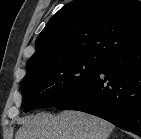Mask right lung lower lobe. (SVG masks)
Here are the masks:
<instances>
[{"label": "right lung lower lobe", "mask_w": 141, "mask_h": 139, "mask_svg": "<svg viewBox=\"0 0 141 139\" xmlns=\"http://www.w3.org/2000/svg\"><path fill=\"white\" fill-rule=\"evenodd\" d=\"M55 107L93 114L141 136V43L109 56L88 83Z\"/></svg>", "instance_id": "98d812e1"}]
</instances>
